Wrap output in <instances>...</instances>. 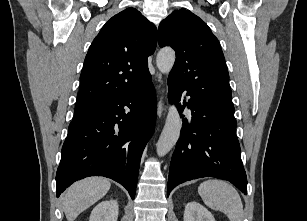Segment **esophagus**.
Masks as SVG:
<instances>
[{"label":"esophagus","mask_w":307,"mask_h":221,"mask_svg":"<svg viewBox=\"0 0 307 221\" xmlns=\"http://www.w3.org/2000/svg\"><path fill=\"white\" fill-rule=\"evenodd\" d=\"M157 78H158V82L162 83L161 76L157 75ZM163 111H164V108H163L162 102H158V104H157V115H158V117L162 116Z\"/></svg>","instance_id":"34e87169"}]
</instances>
